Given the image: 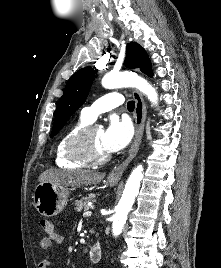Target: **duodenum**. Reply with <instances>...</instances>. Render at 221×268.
<instances>
[{"label":"duodenum","instance_id":"1","mask_svg":"<svg viewBox=\"0 0 221 268\" xmlns=\"http://www.w3.org/2000/svg\"><path fill=\"white\" fill-rule=\"evenodd\" d=\"M102 246L100 243H95L89 250V260L92 263H98L102 258Z\"/></svg>","mask_w":221,"mask_h":268}]
</instances>
